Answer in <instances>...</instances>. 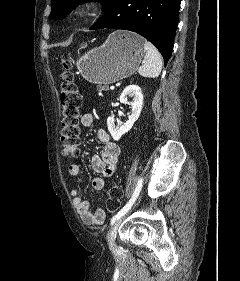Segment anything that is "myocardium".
Returning <instances> with one entry per match:
<instances>
[{
	"label": "myocardium",
	"mask_w": 240,
	"mask_h": 281,
	"mask_svg": "<svg viewBox=\"0 0 240 281\" xmlns=\"http://www.w3.org/2000/svg\"><path fill=\"white\" fill-rule=\"evenodd\" d=\"M97 6L98 2L96 0H83L75 6L72 18L74 20H84L92 15Z\"/></svg>",
	"instance_id": "myocardium-1"
}]
</instances>
